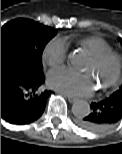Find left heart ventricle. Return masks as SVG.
I'll list each match as a JSON object with an SVG mask.
<instances>
[{
    "label": "left heart ventricle",
    "instance_id": "obj_1",
    "mask_svg": "<svg viewBox=\"0 0 122 154\" xmlns=\"http://www.w3.org/2000/svg\"><path fill=\"white\" fill-rule=\"evenodd\" d=\"M84 71L92 75L93 82H95L96 84H102L111 76L113 71V65L108 64L103 68H95L92 61L89 60L88 64L84 68Z\"/></svg>",
    "mask_w": 122,
    "mask_h": 154
}]
</instances>
